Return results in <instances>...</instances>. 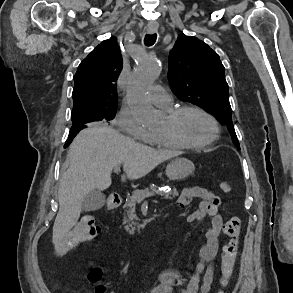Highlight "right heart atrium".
<instances>
[{
	"label": "right heart atrium",
	"mask_w": 293,
	"mask_h": 293,
	"mask_svg": "<svg viewBox=\"0 0 293 293\" xmlns=\"http://www.w3.org/2000/svg\"><path fill=\"white\" fill-rule=\"evenodd\" d=\"M115 126L129 136L144 142H150L153 133L145 128L126 108H122L114 120Z\"/></svg>",
	"instance_id": "right-heart-atrium-1"
}]
</instances>
